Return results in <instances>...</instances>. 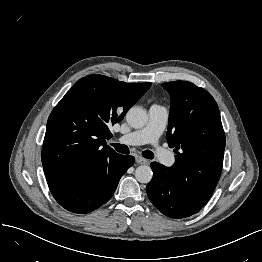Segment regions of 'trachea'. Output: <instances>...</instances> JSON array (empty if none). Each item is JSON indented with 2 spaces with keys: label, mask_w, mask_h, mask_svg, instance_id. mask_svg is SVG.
Returning a JSON list of instances; mask_svg holds the SVG:
<instances>
[{
  "label": "trachea",
  "mask_w": 262,
  "mask_h": 262,
  "mask_svg": "<svg viewBox=\"0 0 262 262\" xmlns=\"http://www.w3.org/2000/svg\"><path fill=\"white\" fill-rule=\"evenodd\" d=\"M111 145L119 153H122V154H129L130 153L128 146H126L124 144H111ZM142 156L147 158V159H153L154 158V154L150 150L143 151L142 152Z\"/></svg>",
  "instance_id": "obj_1"
}]
</instances>
